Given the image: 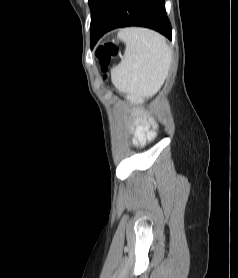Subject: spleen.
<instances>
[{
  "mask_svg": "<svg viewBox=\"0 0 238 278\" xmlns=\"http://www.w3.org/2000/svg\"><path fill=\"white\" fill-rule=\"evenodd\" d=\"M118 38L126 49L111 78L122 92L151 95L159 91L168 75L172 54L159 33L139 27L121 29Z\"/></svg>",
  "mask_w": 238,
  "mask_h": 278,
  "instance_id": "spleen-1",
  "label": "spleen"
}]
</instances>
